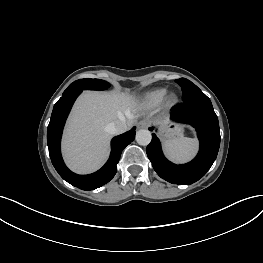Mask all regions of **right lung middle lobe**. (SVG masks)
Segmentation results:
<instances>
[{
    "label": "right lung middle lobe",
    "instance_id": "obj_1",
    "mask_svg": "<svg viewBox=\"0 0 263 263\" xmlns=\"http://www.w3.org/2000/svg\"><path fill=\"white\" fill-rule=\"evenodd\" d=\"M109 86L110 84L108 82L100 79H80L70 84L63 95L77 90H104Z\"/></svg>",
    "mask_w": 263,
    "mask_h": 263
}]
</instances>
